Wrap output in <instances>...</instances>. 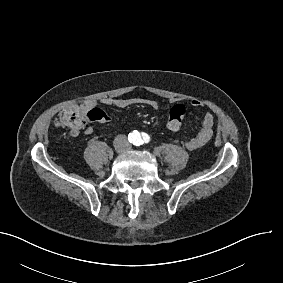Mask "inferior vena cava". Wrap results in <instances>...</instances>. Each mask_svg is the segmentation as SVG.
<instances>
[{
	"label": "inferior vena cava",
	"instance_id": "602c4592",
	"mask_svg": "<svg viewBox=\"0 0 283 283\" xmlns=\"http://www.w3.org/2000/svg\"><path fill=\"white\" fill-rule=\"evenodd\" d=\"M120 140H121L122 143H123L124 149H126V148L129 147V143H128L127 138H126L125 135H118V136L115 138L114 143L116 144V143H117L118 141H120Z\"/></svg>",
	"mask_w": 283,
	"mask_h": 283
}]
</instances>
